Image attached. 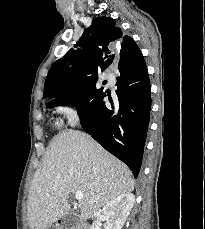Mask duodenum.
<instances>
[{"instance_id":"duodenum-1","label":"duodenum","mask_w":205,"mask_h":229,"mask_svg":"<svg viewBox=\"0 0 205 229\" xmlns=\"http://www.w3.org/2000/svg\"><path fill=\"white\" fill-rule=\"evenodd\" d=\"M61 223H65L64 220L60 221ZM69 229H86V226L85 225H79V226H75V227H72V228H69Z\"/></svg>"}]
</instances>
